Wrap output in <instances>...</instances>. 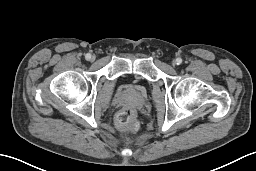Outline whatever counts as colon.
Here are the masks:
<instances>
[{
  "label": "colon",
  "instance_id": "1",
  "mask_svg": "<svg viewBox=\"0 0 256 171\" xmlns=\"http://www.w3.org/2000/svg\"><path fill=\"white\" fill-rule=\"evenodd\" d=\"M115 122L121 129L133 131H138L140 129V124L137 120L135 111L130 107L121 109L115 115Z\"/></svg>",
  "mask_w": 256,
  "mask_h": 171
}]
</instances>
